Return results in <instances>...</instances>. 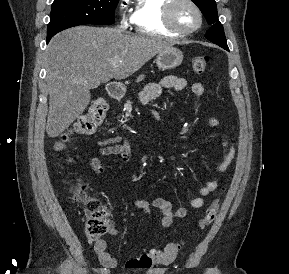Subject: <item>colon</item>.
<instances>
[{"label":"colon","instance_id":"colon-1","mask_svg":"<svg viewBox=\"0 0 289 274\" xmlns=\"http://www.w3.org/2000/svg\"><path fill=\"white\" fill-rule=\"evenodd\" d=\"M209 63L208 56H197L191 61L193 70L201 74ZM108 105L102 98L95 99L87 113L81 115L71 129L64 133L56 144L58 151H63L73 136L90 135L103 123ZM74 202L83 204L85 212V231L91 240H98L107 233H113L114 227L111 222L109 208L99 199L89 196L84 183L77 182L70 188ZM219 210V199H215L205 210L199 221V226L204 228L213 222ZM182 244L173 242L163 250H150L127 262V268L147 270L157 265H166L174 261Z\"/></svg>","mask_w":289,"mask_h":274}]
</instances>
